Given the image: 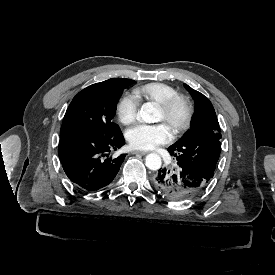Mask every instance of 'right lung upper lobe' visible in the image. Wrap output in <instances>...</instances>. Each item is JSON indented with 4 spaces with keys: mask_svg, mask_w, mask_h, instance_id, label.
Instances as JSON below:
<instances>
[{
    "mask_svg": "<svg viewBox=\"0 0 275 275\" xmlns=\"http://www.w3.org/2000/svg\"><path fill=\"white\" fill-rule=\"evenodd\" d=\"M130 79H118V78H112L103 82H100L101 84H115V83H126L129 82Z\"/></svg>",
    "mask_w": 275,
    "mask_h": 275,
    "instance_id": "obj_1",
    "label": "right lung upper lobe"
}]
</instances>
